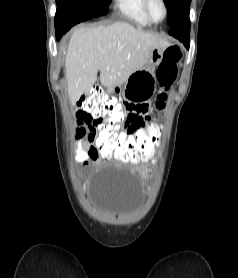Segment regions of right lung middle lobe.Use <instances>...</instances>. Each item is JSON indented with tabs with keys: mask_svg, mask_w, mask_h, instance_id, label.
Masks as SVG:
<instances>
[{
	"mask_svg": "<svg viewBox=\"0 0 238 278\" xmlns=\"http://www.w3.org/2000/svg\"><path fill=\"white\" fill-rule=\"evenodd\" d=\"M57 6L74 5L81 8L87 18L97 17L108 13L110 0H56Z\"/></svg>",
	"mask_w": 238,
	"mask_h": 278,
	"instance_id": "1",
	"label": "right lung middle lobe"
}]
</instances>
